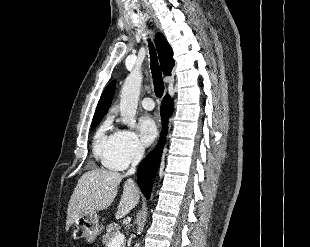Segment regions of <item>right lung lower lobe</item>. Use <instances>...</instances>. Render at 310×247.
<instances>
[{"label":"right lung lower lobe","instance_id":"1","mask_svg":"<svg viewBox=\"0 0 310 247\" xmlns=\"http://www.w3.org/2000/svg\"><path fill=\"white\" fill-rule=\"evenodd\" d=\"M172 105L173 103L171 102L170 97L168 95L165 96L161 104V116L164 130L162 133V138L160 139V144L154 151H152L149 155L146 156L145 159L141 161L138 167L137 171L138 185L147 199H149L150 197L153 180L160 162V157L162 154V146L164 144L163 137H165L167 132L168 117L172 113L173 109Z\"/></svg>","mask_w":310,"mask_h":247}]
</instances>
